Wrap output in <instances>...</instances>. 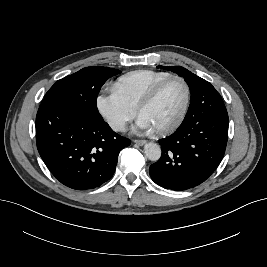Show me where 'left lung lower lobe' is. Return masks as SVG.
Instances as JSON below:
<instances>
[{
    "label": "left lung lower lobe",
    "mask_w": 267,
    "mask_h": 267,
    "mask_svg": "<svg viewBox=\"0 0 267 267\" xmlns=\"http://www.w3.org/2000/svg\"><path fill=\"white\" fill-rule=\"evenodd\" d=\"M228 138V114L202 103L191 120L160 139L161 158L150 166L152 180L165 189L183 191L207 180L223 159Z\"/></svg>",
    "instance_id": "left-lung-lower-lobe-1"
}]
</instances>
